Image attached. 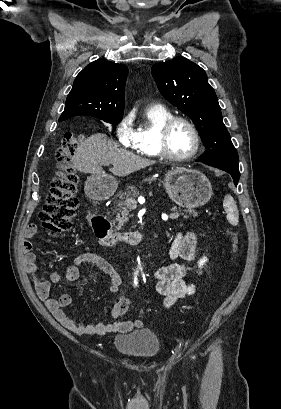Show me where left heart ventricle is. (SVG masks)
I'll list each match as a JSON object with an SVG mask.
<instances>
[{
    "label": "left heart ventricle",
    "mask_w": 281,
    "mask_h": 409,
    "mask_svg": "<svg viewBox=\"0 0 281 409\" xmlns=\"http://www.w3.org/2000/svg\"><path fill=\"white\" fill-rule=\"evenodd\" d=\"M168 147L176 156H184L194 148V137L190 129L183 123L173 126L168 137Z\"/></svg>",
    "instance_id": "obj_1"
}]
</instances>
